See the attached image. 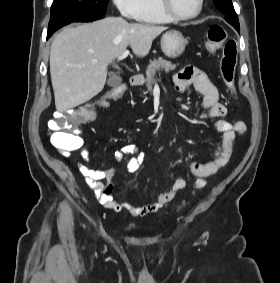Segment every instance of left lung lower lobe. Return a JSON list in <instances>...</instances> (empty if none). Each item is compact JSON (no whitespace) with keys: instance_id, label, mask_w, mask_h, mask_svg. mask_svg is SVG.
Wrapping results in <instances>:
<instances>
[{"instance_id":"1","label":"left lung lower lobe","mask_w":280,"mask_h":283,"mask_svg":"<svg viewBox=\"0 0 280 283\" xmlns=\"http://www.w3.org/2000/svg\"><path fill=\"white\" fill-rule=\"evenodd\" d=\"M238 32H239V30H240V27H234Z\"/></svg>"}]
</instances>
